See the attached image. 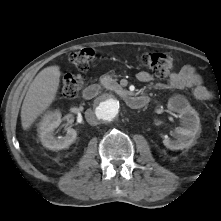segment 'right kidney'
<instances>
[{
    "label": "right kidney",
    "instance_id": "obj_1",
    "mask_svg": "<svg viewBox=\"0 0 221 221\" xmlns=\"http://www.w3.org/2000/svg\"><path fill=\"white\" fill-rule=\"evenodd\" d=\"M61 123V113L54 111L46 114L39 124V137L44 147L50 150H61L69 147L76 139L77 133L73 128H66V135L54 137V131Z\"/></svg>",
    "mask_w": 221,
    "mask_h": 221
}]
</instances>
